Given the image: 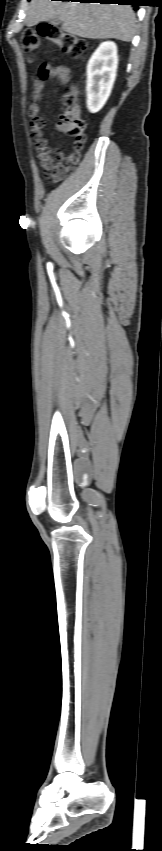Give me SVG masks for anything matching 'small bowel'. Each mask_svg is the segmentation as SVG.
<instances>
[{"instance_id":"obj_1","label":"small bowel","mask_w":162,"mask_h":851,"mask_svg":"<svg viewBox=\"0 0 162 851\" xmlns=\"http://www.w3.org/2000/svg\"><path fill=\"white\" fill-rule=\"evenodd\" d=\"M50 76L57 77L61 83H66L70 78V70L65 65L54 66L50 63H42L39 66L38 77L33 82L29 115L31 117V138L36 149V158L46 174L52 176L61 164L68 161L69 156H66L62 150L49 146L48 140L43 137L45 123L40 117V99L46 87V79ZM56 127L59 131H63L59 122Z\"/></svg>"}]
</instances>
